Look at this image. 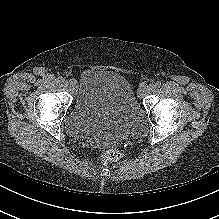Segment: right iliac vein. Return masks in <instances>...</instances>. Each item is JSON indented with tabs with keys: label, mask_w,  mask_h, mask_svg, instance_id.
Here are the masks:
<instances>
[{
	"label": "right iliac vein",
	"mask_w": 219,
	"mask_h": 219,
	"mask_svg": "<svg viewBox=\"0 0 219 219\" xmlns=\"http://www.w3.org/2000/svg\"><path fill=\"white\" fill-rule=\"evenodd\" d=\"M64 84L69 87L70 90H74L76 88L75 80L65 81Z\"/></svg>",
	"instance_id": "1"
}]
</instances>
